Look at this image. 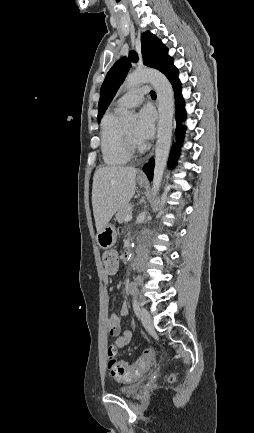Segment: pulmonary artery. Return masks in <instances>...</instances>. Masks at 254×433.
Returning <instances> with one entry per match:
<instances>
[{"instance_id": "pulmonary-artery-1", "label": "pulmonary artery", "mask_w": 254, "mask_h": 433, "mask_svg": "<svg viewBox=\"0 0 254 433\" xmlns=\"http://www.w3.org/2000/svg\"><path fill=\"white\" fill-rule=\"evenodd\" d=\"M149 91L148 86H142L139 88H135L124 94L121 98H119L115 104V110H123L132 107L139 106L144 98V95Z\"/></svg>"}]
</instances>
